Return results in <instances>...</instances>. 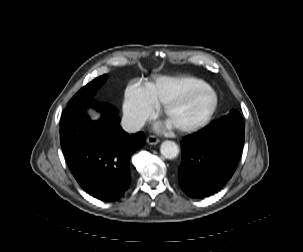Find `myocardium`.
<instances>
[{
  "mask_svg": "<svg viewBox=\"0 0 303 252\" xmlns=\"http://www.w3.org/2000/svg\"><path fill=\"white\" fill-rule=\"evenodd\" d=\"M203 90L207 91L209 95V104L203 116L198 121L190 124L174 125L173 127L176 130L180 132L189 133L204 127L210 121L216 110L217 107L216 92L208 84L202 83L199 86H197L193 91H191L189 94H187L185 97L164 105L163 114L165 118L168 119V117L176 107L186 104L194 96L195 93Z\"/></svg>",
  "mask_w": 303,
  "mask_h": 252,
  "instance_id": "1",
  "label": "myocardium"
}]
</instances>
